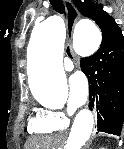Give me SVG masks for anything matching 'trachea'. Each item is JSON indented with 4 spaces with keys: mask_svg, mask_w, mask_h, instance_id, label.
Instances as JSON below:
<instances>
[{
    "mask_svg": "<svg viewBox=\"0 0 124 149\" xmlns=\"http://www.w3.org/2000/svg\"><path fill=\"white\" fill-rule=\"evenodd\" d=\"M50 4L52 5L53 9L56 12H58L60 14H63L65 12V6L61 0H50ZM67 53L70 57H72L69 49H68Z\"/></svg>",
    "mask_w": 124,
    "mask_h": 149,
    "instance_id": "3493384b",
    "label": "trachea"
}]
</instances>
